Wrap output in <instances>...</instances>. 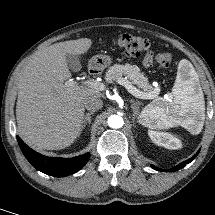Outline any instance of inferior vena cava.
I'll return each mask as SVG.
<instances>
[{
  "label": "inferior vena cava",
  "instance_id": "inferior-vena-cava-1",
  "mask_svg": "<svg viewBox=\"0 0 215 215\" xmlns=\"http://www.w3.org/2000/svg\"><path fill=\"white\" fill-rule=\"evenodd\" d=\"M84 106L89 111H97L103 107V101L97 96H89L84 100Z\"/></svg>",
  "mask_w": 215,
  "mask_h": 215
}]
</instances>
